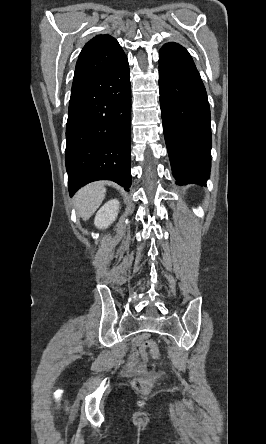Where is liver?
Wrapping results in <instances>:
<instances>
[{
    "label": "liver",
    "instance_id": "6515ba94",
    "mask_svg": "<svg viewBox=\"0 0 266 444\" xmlns=\"http://www.w3.org/2000/svg\"><path fill=\"white\" fill-rule=\"evenodd\" d=\"M106 195V188L102 183H91L80 189L75 196V205L78 215L86 221L98 209Z\"/></svg>",
    "mask_w": 266,
    "mask_h": 444
}]
</instances>
